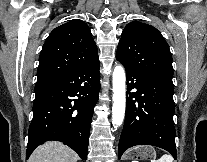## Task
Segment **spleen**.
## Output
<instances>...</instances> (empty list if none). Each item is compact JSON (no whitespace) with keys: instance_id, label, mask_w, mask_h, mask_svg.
<instances>
[{"instance_id":"spleen-1","label":"spleen","mask_w":207,"mask_h":162,"mask_svg":"<svg viewBox=\"0 0 207 162\" xmlns=\"http://www.w3.org/2000/svg\"><path fill=\"white\" fill-rule=\"evenodd\" d=\"M151 162H173V157L171 155L164 154L159 160H152Z\"/></svg>"}]
</instances>
